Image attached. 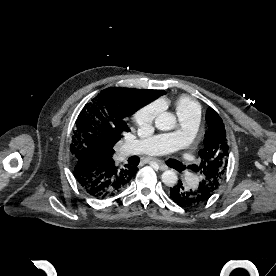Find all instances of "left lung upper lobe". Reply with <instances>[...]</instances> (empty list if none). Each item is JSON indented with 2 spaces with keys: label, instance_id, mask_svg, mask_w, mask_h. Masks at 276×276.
Here are the masks:
<instances>
[{
  "label": "left lung upper lobe",
  "instance_id": "obj_1",
  "mask_svg": "<svg viewBox=\"0 0 276 276\" xmlns=\"http://www.w3.org/2000/svg\"><path fill=\"white\" fill-rule=\"evenodd\" d=\"M206 120L209 130L205 134L204 148L199 151L202 162L195 170L202 174L199 185L207 186L213 194L222 182L229 147L222 119L211 107L207 109Z\"/></svg>",
  "mask_w": 276,
  "mask_h": 276
}]
</instances>
